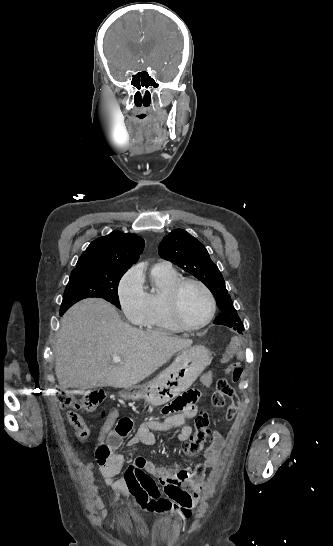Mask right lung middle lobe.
<instances>
[{"instance_id": "1", "label": "right lung middle lobe", "mask_w": 333, "mask_h": 546, "mask_svg": "<svg viewBox=\"0 0 333 546\" xmlns=\"http://www.w3.org/2000/svg\"><path fill=\"white\" fill-rule=\"evenodd\" d=\"M126 271L98 266L82 274L71 275L60 311H66L76 302L89 297L103 298L120 308L117 290L119 281Z\"/></svg>"}]
</instances>
